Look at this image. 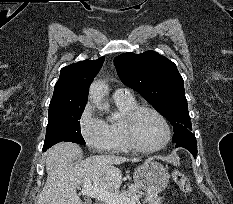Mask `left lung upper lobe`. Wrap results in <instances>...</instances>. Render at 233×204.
<instances>
[{
  "label": "left lung upper lobe",
  "instance_id": "obj_1",
  "mask_svg": "<svg viewBox=\"0 0 233 204\" xmlns=\"http://www.w3.org/2000/svg\"><path fill=\"white\" fill-rule=\"evenodd\" d=\"M114 63L123 83L138 91L174 126L172 141L176 145L196 141L191 131L183 78L172 61L155 51H146L123 53Z\"/></svg>",
  "mask_w": 233,
  "mask_h": 204
}]
</instances>
